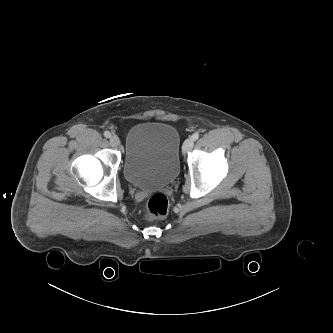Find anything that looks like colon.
<instances>
[{
	"label": "colon",
	"instance_id": "obj_1",
	"mask_svg": "<svg viewBox=\"0 0 333 333\" xmlns=\"http://www.w3.org/2000/svg\"><path fill=\"white\" fill-rule=\"evenodd\" d=\"M169 202L167 197L158 193L150 197L146 208V219L157 221L166 217L168 213Z\"/></svg>",
	"mask_w": 333,
	"mask_h": 333
}]
</instances>
